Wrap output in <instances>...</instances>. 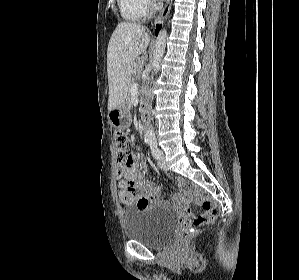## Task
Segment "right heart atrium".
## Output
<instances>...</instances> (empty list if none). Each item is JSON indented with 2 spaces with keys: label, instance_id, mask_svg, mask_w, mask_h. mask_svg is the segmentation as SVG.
I'll use <instances>...</instances> for the list:
<instances>
[{
  "label": "right heart atrium",
  "instance_id": "d8ad5b80",
  "mask_svg": "<svg viewBox=\"0 0 299 280\" xmlns=\"http://www.w3.org/2000/svg\"><path fill=\"white\" fill-rule=\"evenodd\" d=\"M143 3L147 9L153 8L155 5L154 0H143Z\"/></svg>",
  "mask_w": 299,
  "mask_h": 280
}]
</instances>
